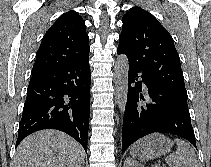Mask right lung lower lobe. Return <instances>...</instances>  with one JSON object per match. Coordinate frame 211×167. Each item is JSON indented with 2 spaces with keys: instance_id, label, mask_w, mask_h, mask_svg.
Wrapping results in <instances>:
<instances>
[{
  "instance_id": "obj_1",
  "label": "right lung lower lobe",
  "mask_w": 211,
  "mask_h": 167,
  "mask_svg": "<svg viewBox=\"0 0 211 167\" xmlns=\"http://www.w3.org/2000/svg\"><path fill=\"white\" fill-rule=\"evenodd\" d=\"M90 82L88 58L32 76L16 146L35 131L57 129L87 151Z\"/></svg>"
}]
</instances>
